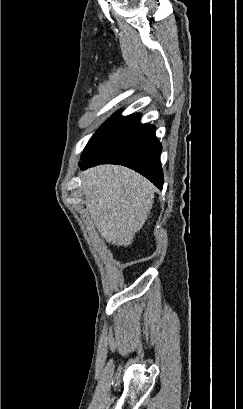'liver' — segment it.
<instances>
[{"label":"liver","instance_id":"obj_1","mask_svg":"<svg viewBox=\"0 0 243 409\" xmlns=\"http://www.w3.org/2000/svg\"><path fill=\"white\" fill-rule=\"evenodd\" d=\"M88 214L107 243L131 245L153 206V184L119 165H99L81 174Z\"/></svg>","mask_w":243,"mask_h":409}]
</instances>
